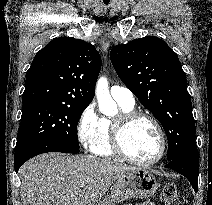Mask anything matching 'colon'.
Wrapping results in <instances>:
<instances>
[{
    "label": "colon",
    "instance_id": "1",
    "mask_svg": "<svg viewBox=\"0 0 212 205\" xmlns=\"http://www.w3.org/2000/svg\"><path fill=\"white\" fill-rule=\"evenodd\" d=\"M161 200L164 205H179V196L176 185L173 183H166L161 190Z\"/></svg>",
    "mask_w": 212,
    "mask_h": 205
}]
</instances>
